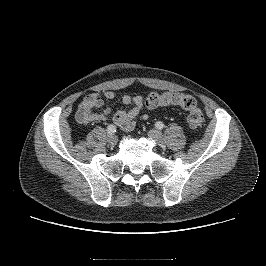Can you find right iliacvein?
<instances>
[{
  "mask_svg": "<svg viewBox=\"0 0 266 266\" xmlns=\"http://www.w3.org/2000/svg\"><path fill=\"white\" fill-rule=\"evenodd\" d=\"M107 142L108 144L111 146V147H114L116 146L117 142H118V138L117 136L115 135H110L108 138H107Z\"/></svg>",
  "mask_w": 266,
  "mask_h": 266,
  "instance_id": "63e3f726",
  "label": "right iliac vein"
}]
</instances>
